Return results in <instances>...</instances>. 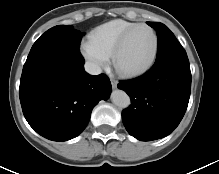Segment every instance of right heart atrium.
<instances>
[{
  "instance_id": "right-heart-atrium-1",
  "label": "right heart atrium",
  "mask_w": 219,
  "mask_h": 174,
  "mask_svg": "<svg viewBox=\"0 0 219 174\" xmlns=\"http://www.w3.org/2000/svg\"><path fill=\"white\" fill-rule=\"evenodd\" d=\"M80 51L91 69L95 72L100 71L110 62L109 56L95 46L89 39L81 43Z\"/></svg>"
}]
</instances>
